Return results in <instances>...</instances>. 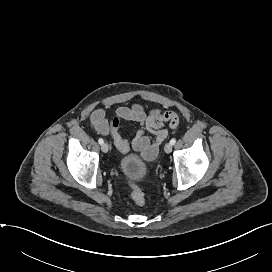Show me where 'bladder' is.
<instances>
[{
    "label": "bladder",
    "instance_id": "obj_1",
    "mask_svg": "<svg viewBox=\"0 0 272 272\" xmlns=\"http://www.w3.org/2000/svg\"><path fill=\"white\" fill-rule=\"evenodd\" d=\"M122 173L132 180L142 179L147 173V167L143 160L135 154L124 156L119 163Z\"/></svg>",
    "mask_w": 272,
    "mask_h": 272
}]
</instances>
